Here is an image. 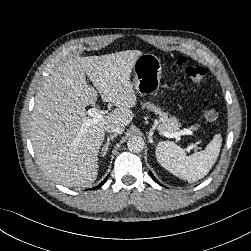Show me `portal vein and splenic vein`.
Returning <instances> with one entry per match:
<instances>
[{
	"mask_svg": "<svg viewBox=\"0 0 251 251\" xmlns=\"http://www.w3.org/2000/svg\"><path fill=\"white\" fill-rule=\"evenodd\" d=\"M86 113L90 118L84 123L85 126H90L91 124L98 122L103 118L104 114L103 110H99L96 108H91ZM187 134L189 135L192 134V131L189 129H183L178 132H172V133L164 132V136L168 138H178L181 135H187Z\"/></svg>",
	"mask_w": 251,
	"mask_h": 251,
	"instance_id": "18ae733b",
	"label": "portal vein and splenic vein"
}]
</instances>
